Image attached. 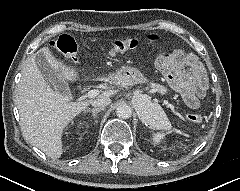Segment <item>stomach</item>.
Segmentation results:
<instances>
[{
	"instance_id": "stomach-1",
	"label": "stomach",
	"mask_w": 240,
	"mask_h": 191,
	"mask_svg": "<svg viewBox=\"0 0 240 191\" xmlns=\"http://www.w3.org/2000/svg\"><path fill=\"white\" fill-rule=\"evenodd\" d=\"M108 79L115 81L122 86H130L137 83H146L147 78L136 68L130 66H123L116 71V73L109 75ZM141 115L145 112V108L137 104Z\"/></svg>"
}]
</instances>
